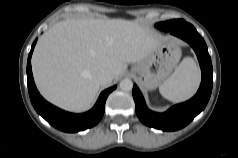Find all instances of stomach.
<instances>
[{
  "label": "stomach",
  "mask_w": 238,
  "mask_h": 158,
  "mask_svg": "<svg viewBox=\"0 0 238 158\" xmlns=\"http://www.w3.org/2000/svg\"><path fill=\"white\" fill-rule=\"evenodd\" d=\"M180 58V46L174 39L167 37L148 56L135 64L131 72L145 89L152 90L170 76Z\"/></svg>",
  "instance_id": "1"
}]
</instances>
